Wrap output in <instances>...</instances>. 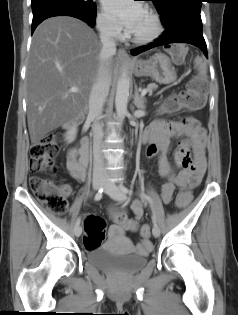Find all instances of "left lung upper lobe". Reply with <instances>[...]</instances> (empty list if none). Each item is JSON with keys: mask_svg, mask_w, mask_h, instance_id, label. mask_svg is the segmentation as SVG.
<instances>
[{"mask_svg": "<svg viewBox=\"0 0 238 315\" xmlns=\"http://www.w3.org/2000/svg\"><path fill=\"white\" fill-rule=\"evenodd\" d=\"M153 1L158 13L161 15V21L172 16L177 10L187 6H200L202 0H150Z\"/></svg>", "mask_w": 238, "mask_h": 315, "instance_id": "1", "label": "left lung upper lobe"}]
</instances>
